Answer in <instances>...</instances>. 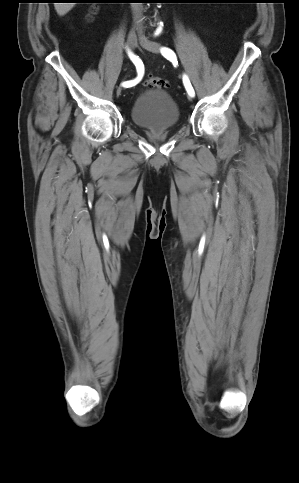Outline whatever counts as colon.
<instances>
[{
  "mask_svg": "<svg viewBox=\"0 0 299 483\" xmlns=\"http://www.w3.org/2000/svg\"><path fill=\"white\" fill-rule=\"evenodd\" d=\"M145 84L147 86H150V87H153V88H158V89H166L169 86L168 82L165 79H162V78L156 77V76H149L145 80Z\"/></svg>",
  "mask_w": 299,
  "mask_h": 483,
  "instance_id": "5ec220e1",
  "label": "colon"
}]
</instances>
